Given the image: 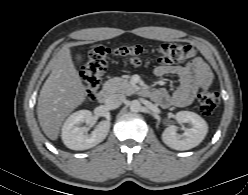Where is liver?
<instances>
[{"label":"liver","mask_w":248,"mask_h":195,"mask_svg":"<svg viewBox=\"0 0 248 195\" xmlns=\"http://www.w3.org/2000/svg\"><path fill=\"white\" fill-rule=\"evenodd\" d=\"M85 99L86 89L72 61L70 49L63 47L38 98L37 116L45 135L57 140L65 118Z\"/></svg>","instance_id":"1"}]
</instances>
